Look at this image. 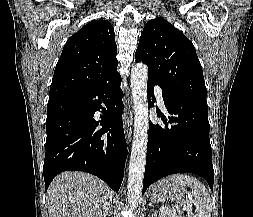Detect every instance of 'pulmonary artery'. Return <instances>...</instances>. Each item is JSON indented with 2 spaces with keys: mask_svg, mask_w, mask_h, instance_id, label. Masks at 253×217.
<instances>
[{
  "mask_svg": "<svg viewBox=\"0 0 253 217\" xmlns=\"http://www.w3.org/2000/svg\"><path fill=\"white\" fill-rule=\"evenodd\" d=\"M155 94H156V98H157L159 105L162 108H164V99H163V95H162V88L159 86H156L155 87Z\"/></svg>",
  "mask_w": 253,
  "mask_h": 217,
  "instance_id": "e3ab8cb5",
  "label": "pulmonary artery"
}]
</instances>
